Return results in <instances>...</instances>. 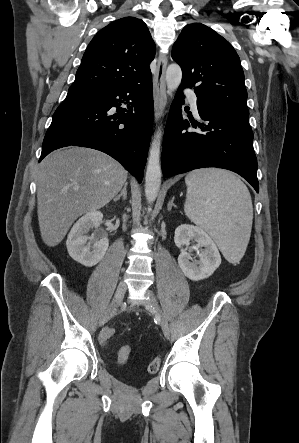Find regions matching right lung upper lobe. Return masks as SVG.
<instances>
[{
	"mask_svg": "<svg viewBox=\"0 0 299 443\" xmlns=\"http://www.w3.org/2000/svg\"><path fill=\"white\" fill-rule=\"evenodd\" d=\"M155 44L146 24L134 17L116 20L89 43L70 88L99 90L151 77Z\"/></svg>",
	"mask_w": 299,
	"mask_h": 443,
	"instance_id": "cb5924a9",
	"label": "right lung upper lobe"
}]
</instances>
